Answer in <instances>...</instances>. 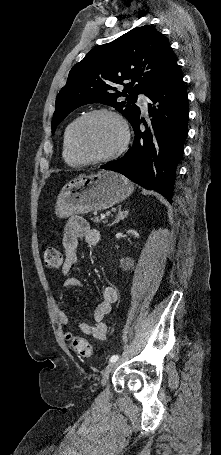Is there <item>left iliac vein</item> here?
Wrapping results in <instances>:
<instances>
[{"label": "left iliac vein", "mask_w": 221, "mask_h": 455, "mask_svg": "<svg viewBox=\"0 0 221 455\" xmlns=\"http://www.w3.org/2000/svg\"><path fill=\"white\" fill-rule=\"evenodd\" d=\"M117 365V362H110L103 370L102 372V379H101V383L102 385H105L106 384V381L110 375V373L112 372V370L116 367Z\"/></svg>", "instance_id": "obj_1"}]
</instances>
